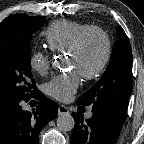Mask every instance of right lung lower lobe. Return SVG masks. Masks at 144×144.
Wrapping results in <instances>:
<instances>
[{
    "mask_svg": "<svg viewBox=\"0 0 144 144\" xmlns=\"http://www.w3.org/2000/svg\"><path fill=\"white\" fill-rule=\"evenodd\" d=\"M34 98L39 103L33 113L24 111L20 103L0 112V144H38L40 131L56 118L58 108L39 91Z\"/></svg>",
    "mask_w": 144,
    "mask_h": 144,
    "instance_id": "98d812e1",
    "label": "right lung lower lobe"
}]
</instances>
